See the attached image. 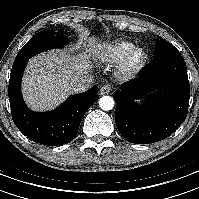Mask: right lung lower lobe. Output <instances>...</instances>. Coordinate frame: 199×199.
<instances>
[{
	"label": "right lung lower lobe",
	"mask_w": 199,
	"mask_h": 199,
	"mask_svg": "<svg viewBox=\"0 0 199 199\" xmlns=\"http://www.w3.org/2000/svg\"><path fill=\"white\" fill-rule=\"evenodd\" d=\"M28 60L13 64L8 87L12 118L17 128L29 139L57 146L69 143L77 134L83 116L99 95L98 88L71 96L51 112L36 113L25 105L21 95L22 75Z\"/></svg>",
	"instance_id": "98d812e1"
}]
</instances>
